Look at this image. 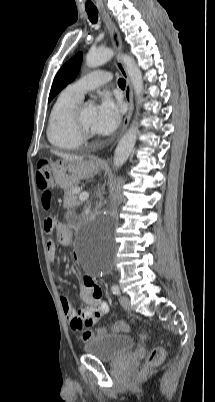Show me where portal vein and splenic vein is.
Wrapping results in <instances>:
<instances>
[{
    "instance_id": "obj_1",
    "label": "portal vein and splenic vein",
    "mask_w": 215,
    "mask_h": 402,
    "mask_svg": "<svg viewBox=\"0 0 215 402\" xmlns=\"http://www.w3.org/2000/svg\"><path fill=\"white\" fill-rule=\"evenodd\" d=\"M78 192H79V190H76V193H78ZM88 196H89L88 192H82L79 196V200L82 202L86 201L88 199Z\"/></svg>"
}]
</instances>
